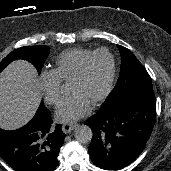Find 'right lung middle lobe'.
Here are the masks:
<instances>
[{"mask_svg":"<svg viewBox=\"0 0 171 171\" xmlns=\"http://www.w3.org/2000/svg\"><path fill=\"white\" fill-rule=\"evenodd\" d=\"M49 49L50 48L45 45L18 48L12 51L1 61L0 72L13 60L24 59L33 63L40 73L41 68L43 67L44 62L48 56Z\"/></svg>","mask_w":171,"mask_h":171,"instance_id":"right-lung-middle-lobe-1","label":"right lung middle lobe"}]
</instances>
